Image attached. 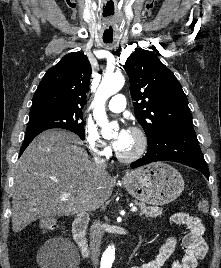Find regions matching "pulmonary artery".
Listing matches in <instances>:
<instances>
[{"instance_id": "e3ab8cb5", "label": "pulmonary artery", "mask_w": 221, "mask_h": 268, "mask_svg": "<svg viewBox=\"0 0 221 268\" xmlns=\"http://www.w3.org/2000/svg\"><path fill=\"white\" fill-rule=\"evenodd\" d=\"M126 98L122 94H117L108 103V109L114 113H120L125 109Z\"/></svg>"}]
</instances>
